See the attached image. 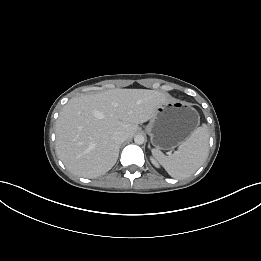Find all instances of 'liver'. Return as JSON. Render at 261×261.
Here are the masks:
<instances>
[{
    "label": "liver",
    "mask_w": 261,
    "mask_h": 261,
    "mask_svg": "<svg viewBox=\"0 0 261 261\" xmlns=\"http://www.w3.org/2000/svg\"><path fill=\"white\" fill-rule=\"evenodd\" d=\"M167 95L147 89H113L74 97L62 108L55 128L56 152L73 174L96 178L119 156L116 132L128 138L150 120Z\"/></svg>",
    "instance_id": "obj_1"
}]
</instances>
